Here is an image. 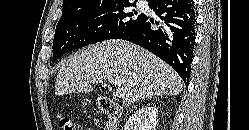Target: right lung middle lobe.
<instances>
[{
	"instance_id": "dd1d6c3e",
	"label": "right lung middle lobe",
	"mask_w": 249,
	"mask_h": 130,
	"mask_svg": "<svg viewBox=\"0 0 249 130\" xmlns=\"http://www.w3.org/2000/svg\"><path fill=\"white\" fill-rule=\"evenodd\" d=\"M130 6L135 2L116 0L63 12L53 40V62L70 50L119 38L144 16Z\"/></svg>"
}]
</instances>
